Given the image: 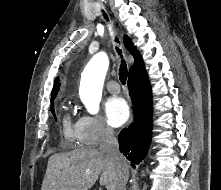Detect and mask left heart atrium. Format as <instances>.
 Here are the masks:
<instances>
[{
    "mask_svg": "<svg viewBox=\"0 0 221 190\" xmlns=\"http://www.w3.org/2000/svg\"><path fill=\"white\" fill-rule=\"evenodd\" d=\"M107 122L113 127L123 125L130 116L129 106L123 98L112 97L105 106Z\"/></svg>",
    "mask_w": 221,
    "mask_h": 190,
    "instance_id": "left-heart-atrium-1",
    "label": "left heart atrium"
}]
</instances>
